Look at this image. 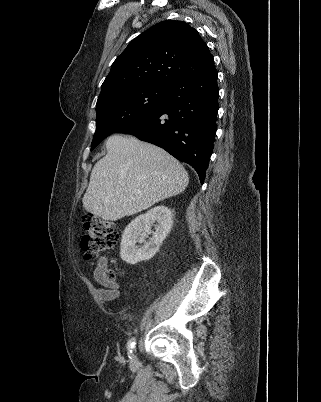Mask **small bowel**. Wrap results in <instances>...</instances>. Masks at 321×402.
Returning a JSON list of instances; mask_svg holds the SVG:
<instances>
[{
  "label": "small bowel",
  "mask_w": 321,
  "mask_h": 402,
  "mask_svg": "<svg viewBox=\"0 0 321 402\" xmlns=\"http://www.w3.org/2000/svg\"><path fill=\"white\" fill-rule=\"evenodd\" d=\"M106 261L100 260L93 270L95 280L101 285L98 289L100 298L108 300L118 296L117 287L106 277Z\"/></svg>",
  "instance_id": "c3829d8e"
}]
</instances>
